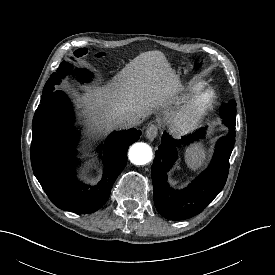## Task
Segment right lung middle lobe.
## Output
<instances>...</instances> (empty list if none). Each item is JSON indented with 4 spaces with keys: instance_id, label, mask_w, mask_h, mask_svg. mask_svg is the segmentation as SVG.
<instances>
[{
    "instance_id": "1",
    "label": "right lung middle lobe",
    "mask_w": 275,
    "mask_h": 275,
    "mask_svg": "<svg viewBox=\"0 0 275 275\" xmlns=\"http://www.w3.org/2000/svg\"><path fill=\"white\" fill-rule=\"evenodd\" d=\"M66 73L73 74V76L75 74L77 79H79L83 82H85L86 80H89L91 77L90 73H88L84 70H78V69L73 71L71 65H68L66 62H62L60 64L58 72L54 73L52 75V77L46 82L44 89H43V95H42L41 102L53 93L54 84H59L62 77H64L66 75Z\"/></svg>"
}]
</instances>
